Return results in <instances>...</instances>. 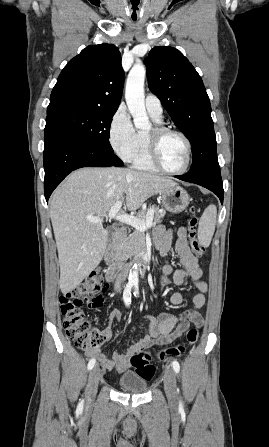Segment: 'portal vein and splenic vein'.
Returning a JSON list of instances; mask_svg holds the SVG:
<instances>
[{
    "label": "portal vein and splenic vein",
    "mask_w": 269,
    "mask_h": 447,
    "mask_svg": "<svg viewBox=\"0 0 269 447\" xmlns=\"http://www.w3.org/2000/svg\"><path fill=\"white\" fill-rule=\"evenodd\" d=\"M122 208V202H116L114 206H112L111 210L108 212V216L106 218H115V220H118V222H123V224H129L132 225V227H135V229H139V231H146V229H149L151 227L154 217H153V210H148L145 220H139V218H135V216H127V214H118L119 210ZM150 209H153V206H150ZM86 220L88 222H103V218H96V216H86Z\"/></svg>",
    "instance_id": "obj_1"
}]
</instances>
